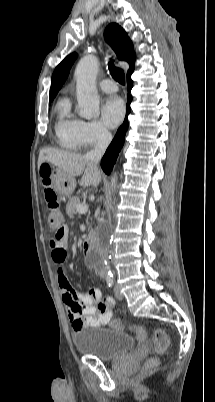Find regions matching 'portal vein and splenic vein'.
Returning <instances> with one entry per match:
<instances>
[{
	"mask_svg": "<svg viewBox=\"0 0 215 402\" xmlns=\"http://www.w3.org/2000/svg\"><path fill=\"white\" fill-rule=\"evenodd\" d=\"M76 210L79 214H85L88 210V205L87 204H78L76 206Z\"/></svg>",
	"mask_w": 215,
	"mask_h": 402,
	"instance_id": "portal-vein-and-splenic-vein-1",
	"label": "portal vein and splenic vein"
}]
</instances>
